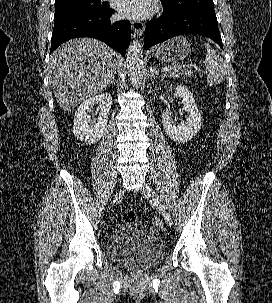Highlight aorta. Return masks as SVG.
I'll list each match as a JSON object with an SVG mask.
<instances>
[{
    "label": "aorta",
    "mask_w": 272,
    "mask_h": 303,
    "mask_svg": "<svg viewBox=\"0 0 272 303\" xmlns=\"http://www.w3.org/2000/svg\"><path fill=\"white\" fill-rule=\"evenodd\" d=\"M128 76L134 88H138L143 78V50L138 40H133L126 53Z\"/></svg>",
    "instance_id": "1"
}]
</instances>
